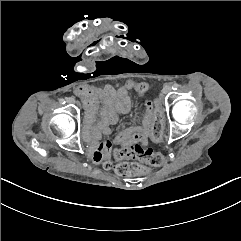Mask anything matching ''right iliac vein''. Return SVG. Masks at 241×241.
<instances>
[{
	"instance_id": "obj_1",
	"label": "right iliac vein",
	"mask_w": 241,
	"mask_h": 241,
	"mask_svg": "<svg viewBox=\"0 0 241 241\" xmlns=\"http://www.w3.org/2000/svg\"><path fill=\"white\" fill-rule=\"evenodd\" d=\"M67 101H68L69 103H73V102H74V99L68 98Z\"/></svg>"
}]
</instances>
